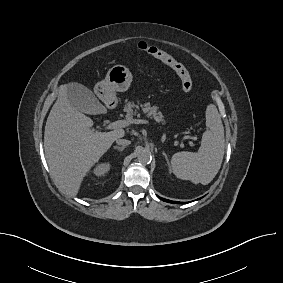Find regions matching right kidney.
I'll return each mask as SVG.
<instances>
[{
	"label": "right kidney",
	"mask_w": 283,
	"mask_h": 283,
	"mask_svg": "<svg viewBox=\"0 0 283 283\" xmlns=\"http://www.w3.org/2000/svg\"><path fill=\"white\" fill-rule=\"evenodd\" d=\"M110 167L111 165L108 162L100 163L94 168L93 173L97 177H102L110 170Z\"/></svg>",
	"instance_id": "ca27d5eb"
}]
</instances>
